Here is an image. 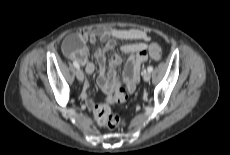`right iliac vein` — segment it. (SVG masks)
Instances as JSON below:
<instances>
[{
  "mask_svg": "<svg viewBox=\"0 0 230 155\" xmlns=\"http://www.w3.org/2000/svg\"><path fill=\"white\" fill-rule=\"evenodd\" d=\"M76 77L77 79L82 82L84 80V74H83V71L80 70V69H77L76 70Z\"/></svg>",
  "mask_w": 230,
  "mask_h": 155,
  "instance_id": "1",
  "label": "right iliac vein"
}]
</instances>
